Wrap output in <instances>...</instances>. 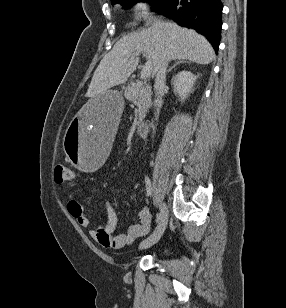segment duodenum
Segmentation results:
<instances>
[{
    "instance_id": "1",
    "label": "duodenum",
    "mask_w": 286,
    "mask_h": 308,
    "mask_svg": "<svg viewBox=\"0 0 286 308\" xmlns=\"http://www.w3.org/2000/svg\"><path fill=\"white\" fill-rule=\"evenodd\" d=\"M150 123L148 121H143L137 126V133L140 137H146L149 130Z\"/></svg>"
}]
</instances>
